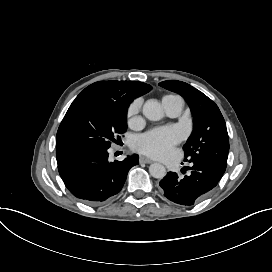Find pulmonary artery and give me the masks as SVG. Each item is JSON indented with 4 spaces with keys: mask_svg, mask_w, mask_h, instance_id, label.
I'll return each mask as SVG.
<instances>
[{
    "mask_svg": "<svg viewBox=\"0 0 272 272\" xmlns=\"http://www.w3.org/2000/svg\"><path fill=\"white\" fill-rule=\"evenodd\" d=\"M163 102L167 106L168 114L171 117H177L181 114L184 106V102L179 96H172L167 99H163Z\"/></svg>",
    "mask_w": 272,
    "mask_h": 272,
    "instance_id": "1",
    "label": "pulmonary artery"
}]
</instances>
